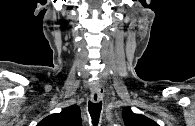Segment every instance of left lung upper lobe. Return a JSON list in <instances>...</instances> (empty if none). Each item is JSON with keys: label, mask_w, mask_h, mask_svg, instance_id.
Here are the masks:
<instances>
[{"label": "left lung upper lobe", "mask_w": 195, "mask_h": 126, "mask_svg": "<svg viewBox=\"0 0 195 126\" xmlns=\"http://www.w3.org/2000/svg\"><path fill=\"white\" fill-rule=\"evenodd\" d=\"M123 119L125 126H158L155 121L141 114H135L131 110L123 112Z\"/></svg>", "instance_id": "1"}]
</instances>
